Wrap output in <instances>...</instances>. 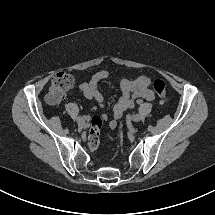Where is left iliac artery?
I'll use <instances>...</instances> for the list:
<instances>
[{"instance_id":"left-iliac-artery-1","label":"left iliac artery","mask_w":215,"mask_h":215,"mask_svg":"<svg viewBox=\"0 0 215 215\" xmlns=\"http://www.w3.org/2000/svg\"><path fill=\"white\" fill-rule=\"evenodd\" d=\"M141 103V101H138V104H140Z\"/></svg>"}]
</instances>
